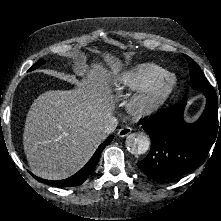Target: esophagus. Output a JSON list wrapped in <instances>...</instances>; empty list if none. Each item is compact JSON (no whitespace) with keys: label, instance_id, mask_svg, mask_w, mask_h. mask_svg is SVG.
I'll return each mask as SVG.
<instances>
[{"label":"esophagus","instance_id":"1","mask_svg":"<svg viewBox=\"0 0 221 221\" xmlns=\"http://www.w3.org/2000/svg\"><path fill=\"white\" fill-rule=\"evenodd\" d=\"M131 132H132V129L128 126H125V127H122L121 129H119L118 136L125 137V136L129 135Z\"/></svg>","mask_w":221,"mask_h":221}]
</instances>
